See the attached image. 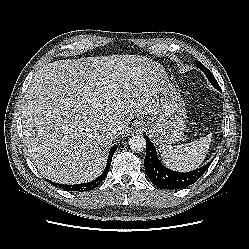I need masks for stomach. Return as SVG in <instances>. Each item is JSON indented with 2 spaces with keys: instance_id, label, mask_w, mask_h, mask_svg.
I'll return each instance as SVG.
<instances>
[{
  "instance_id": "1",
  "label": "stomach",
  "mask_w": 249,
  "mask_h": 249,
  "mask_svg": "<svg viewBox=\"0 0 249 249\" xmlns=\"http://www.w3.org/2000/svg\"><path fill=\"white\" fill-rule=\"evenodd\" d=\"M159 105L154 114L142 119L160 146L182 140L187 126V111L179 91L166 78L159 83ZM139 122V123H140Z\"/></svg>"
}]
</instances>
